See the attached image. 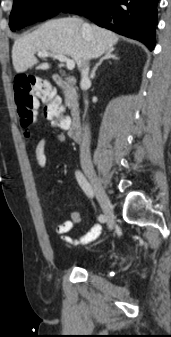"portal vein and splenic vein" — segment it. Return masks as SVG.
Segmentation results:
<instances>
[{
	"label": "portal vein and splenic vein",
	"mask_w": 171,
	"mask_h": 337,
	"mask_svg": "<svg viewBox=\"0 0 171 337\" xmlns=\"http://www.w3.org/2000/svg\"><path fill=\"white\" fill-rule=\"evenodd\" d=\"M38 56L43 57V58L44 57H54L55 59H58L60 62L66 63V67L68 70H73L75 68V61L72 59H69L65 55L54 54V53H50L47 51H43V52H39Z\"/></svg>",
	"instance_id": "portal-vein-and-splenic-vein-1"
}]
</instances>
